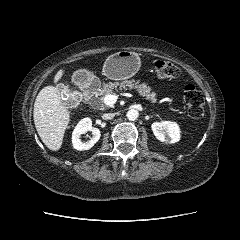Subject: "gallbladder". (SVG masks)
Here are the masks:
<instances>
[{
  "instance_id": "obj_1",
  "label": "gallbladder",
  "mask_w": 240,
  "mask_h": 240,
  "mask_svg": "<svg viewBox=\"0 0 240 240\" xmlns=\"http://www.w3.org/2000/svg\"><path fill=\"white\" fill-rule=\"evenodd\" d=\"M56 87L59 91H61L64 88V85L60 83V84H57ZM69 96H71V92H69ZM71 101H72L71 98H67L63 101V104L65 106H69L72 103Z\"/></svg>"
}]
</instances>
